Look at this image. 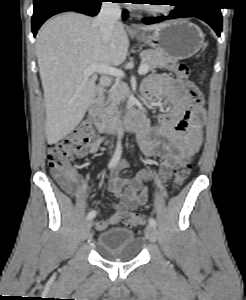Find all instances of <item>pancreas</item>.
<instances>
[{
    "label": "pancreas",
    "instance_id": "1",
    "mask_svg": "<svg viewBox=\"0 0 246 300\" xmlns=\"http://www.w3.org/2000/svg\"><path fill=\"white\" fill-rule=\"evenodd\" d=\"M140 57L142 58V64L148 67L147 72L153 71L157 67L165 68L168 67L170 63L175 64L177 62L165 57L157 50H144L140 53ZM128 94L129 89L126 84L120 83L114 85L109 93L108 98L102 101L104 111L106 113H113L116 111L117 106Z\"/></svg>",
    "mask_w": 246,
    "mask_h": 300
}]
</instances>
